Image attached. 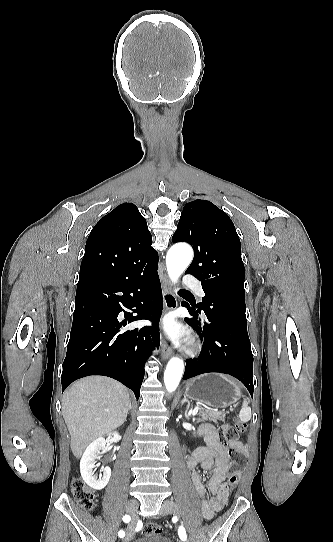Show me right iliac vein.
<instances>
[{"instance_id": "63e3f726", "label": "right iliac vein", "mask_w": 333, "mask_h": 542, "mask_svg": "<svg viewBox=\"0 0 333 542\" xmlns=\"http://www.w3.org/2000/svg\"><path fill=\"white\" fill-rule=\"evenodd\" d=\"M137 509H138L137 501L133 500L128 503L126 512L129 515H131L132 521L128 524L126 528V536H125L124 542H129L133 538L134 529H135V520H136L135 511Z\"/></svg>"}]
</instances>
